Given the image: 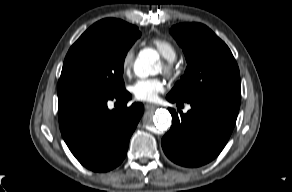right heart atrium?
Here are the masks:
<instances>
[{"label":"right heart atrium","instance_id":"obj_1","mask_svg":"<svg viewBox=\"0 0 292 192\" xmlns=\"http://www.w3.org/2000/svg\"><path fill=\"white\" fill-rule=\"evenodd\" d=\"M134 56H135V52H134L133 47H130L124 53V55L122 57V61H121V67H122V70L125 74L130 73L132 66H133Z\"/></svg>","mask_w":292,"mask_h":192}]
</instances>
